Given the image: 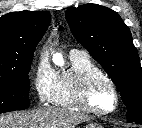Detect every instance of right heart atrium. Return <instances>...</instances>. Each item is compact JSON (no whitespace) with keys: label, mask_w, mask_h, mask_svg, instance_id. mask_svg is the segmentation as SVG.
Segmentation results:
<instances>
[{"label":"right heart atrium","mask_w":142,"mask_h":128,"mask_svg":"<svg viewBox=\"0 0 142 128\" xmlns=\"http://www.w3.org/2000/svg\"><path fill=\"white\" fill-rule=\"evenodd\" d=\"M56 72L47 57L41 54L35 61L31 72V83L38 101L42 104L50 102Z\"/></svg>","instance_id":"obj_1"}]
</instances>
